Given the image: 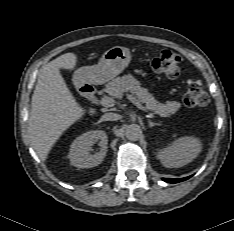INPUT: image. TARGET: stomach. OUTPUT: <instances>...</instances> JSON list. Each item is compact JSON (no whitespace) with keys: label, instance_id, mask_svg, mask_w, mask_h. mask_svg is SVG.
<instances>
[{"label":"stomach","instance_id":"0dacf381","mask_svg":"<svg viewBox=\"0 0 234 231\" xmlns=\"http://www.w3.org/2000/svg\"><path fill=\"white\" fill-rule=\"evenodd\" d=\"M131 53L128 48L115 46L107 50L97 65L86 66L74 73L79 82L103 84L120 74L130 63Z\"/></svg>","mask_w":234,"mask_h":231}]
</instances>
